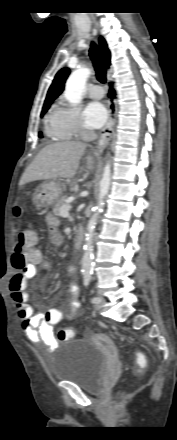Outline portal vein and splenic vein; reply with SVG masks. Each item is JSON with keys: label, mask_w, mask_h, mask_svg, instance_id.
Masks as SVG:
<instances>
[{"label": "portal vein and splenic vein", "mask_w": 177, "mask_h": 440, "mask_svg": "<svg viewBox=\"0 0 177 440\" xmlns=\"http://www.w3.org/2000/svg\"><path fill=\"white\" fill-rule=\"evenodd\" d=\"M70 209H71V206H70V205H64V206H62L61 209H60V216H61V217H64V218L69 217V210H70Z\"/></svg>", "instance_id": "18ae733b"}]
</instances>
